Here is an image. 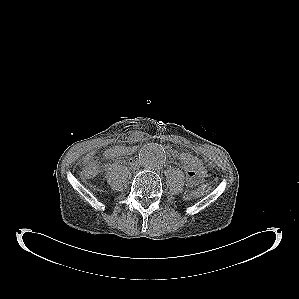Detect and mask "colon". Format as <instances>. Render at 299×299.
I'll return each mask as SVG.
<instances>
[{
	"label": "colon",
	"instance_id": "obj_1",
	"mask_svg": "<svg viewBox=\"0 0 299 299\" xmlns=\"http://www.w3.org/2000/svg\"><path fill=\"white\" fill-rule=\"evenodd\" d=\"M178 158L185 169H192L195 171H199L203 167L200 159L196 155L188 151L180 150L178 153ZM80 165H81L82 174L85 177H93L97 172V166L90 156L84 157L81 160ZM209 189H210L209 184L207 183L201 184L200 186H198L196 190L192 192V196L198 197L204 195L209 191Z\"/></svg>",
	"mask_w": 299,
	"mask_h": 299
}]
</instances>
